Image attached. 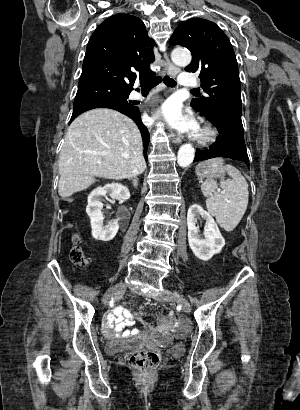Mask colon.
<instances>
[{"mask_svg": "<svg viewBox=\"0 0 300 410\" xmlns=\"http://www.w3.org/2000/svg\"><path fill=\"white\" fill-rule=\"evenodd\" d=\"M75 245L70 251L71 262L75 266H82L85 263V256L82 248L79 246V238H74ZM177 317L172 312H165L161 318L162 324H173ZM129 364L138 371L142 376H149L156 369L161 361L160 354L152 349L142 348L129 355Z\"/></svg>", "mask_w": 300, "mask_h": 410, "instance_id": "1", "label": "colon"}]
</instances>
